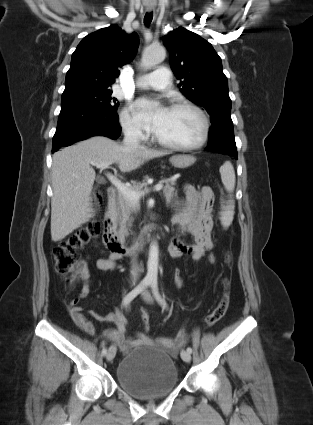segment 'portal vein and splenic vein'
<instances>
[{"instance_id":"obj_1","label":"portal vein and splenic vein","mask_w":313,"mask_h":425,"mask_svg":"<svg viewBox=\"0 0 313 425\" xmlns=\"http://www.w3.org/2000/svg\"><path fill=\"white\" fill-rule=\"evenodd\" d=\"M92 166H95L99 168L100 170H104L108 168L112 163H104V162H91ZM107 178L110 180V182L116 187V189L123 194L128 200L132 202H138L139 199L144 196L146 193L149 192L148 189H145L144 191L135 192L132 191L128 186L123 184L117 177H115L111 173H107ZM163 188V184L159 183L155 185L154 191H160Z\"/></svg>"}]
</instances>
